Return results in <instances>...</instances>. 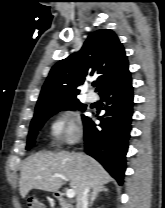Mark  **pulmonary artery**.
<instances>
[{"mask_svg": "<svg viewBox=\"0 0 165 208\" xmlns=\"http://www.w3.org/2000/svg\"><path fill=\"white\" fill-rule=\"evenodd\" d=\"M87 101L90 103H94L97 101V96L94 93H89L86 97Z\"/></svg>", "mask_w": 165, "mask_h": 208, "instance_id": "pulmonary-artery-1", "label": "pulmonary artery"}]
</instances>
